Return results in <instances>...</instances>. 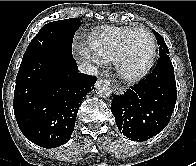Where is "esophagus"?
Segmentation results:
<instances>
[{
  "label": "esophagus",
  "instance_id": "esophagus-1",
  "mask_svg": "<svg viewBox=\"0 0 196 166\" xmlns=\"http://www.w3.org/2000/svg\"><path fill=\"white\" fill-rule=\"evenodd\" d=\"M113 90H114V93L117 95H122L124 93V88L121 87L120 85H114Z\"/></svg>",
  "mask_w": 196,
  "mask_h": 166
}]
</instances>
